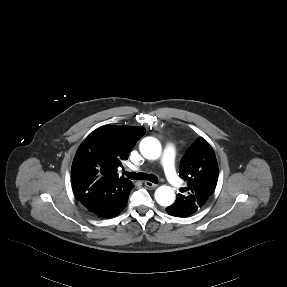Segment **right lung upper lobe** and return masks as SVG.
<instances>
[{"mask_svg": "<svg viewBox=\"0 0 287 287\" xmlns=\"http://www.w3.org/2000/svg\"><path fill=\"white\" fill-rule=\"evenodd\" d=\"M145 134L141 127L104 125L91 132L76 152L71 169L72 186L78 201L86 197L95 182H111L128 179L119 177L117 169L121 160L128 159L129 152Z\"/></svg>", "mask_w": 287, "mask_h": 287, "instance_id": "obj_1", "label": "right lung upper lobe"}]
</instances>
